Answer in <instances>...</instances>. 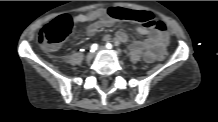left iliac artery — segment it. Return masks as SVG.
Masks as SVG:
<instances>
[{
	"mask_svg": "<svg viewBox=\"0 0 218 122\" xmlns=\"http://www.w3.org/2000/svg\"><path fill=\"white\" fill-rule=\"evenodd\" d=\"M106 47H107L108 49H112V48H113V46H112L111 43H107V44H106Z\"/></svg>",
	"mask_w": 218,
	"mask_h": 122,
	"instance_id": "44dca946",
	"label": "left iliac artery"
}]
</instances>
